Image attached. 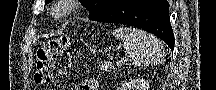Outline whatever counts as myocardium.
I'll return each instance as SVG.
<instances>
[{"label":"myocardium","instance_id":"1","mask_svg":"<svg viewBox=\"0 0 216 90\" xmlns=\"http://www.w3.org/2000/svg\"><path fill=\"white\" fill-rule=\"evenodd\" d=\"M57 3H83V0H57ZM70 10V6L57 4L53 8L52 17L54 20H59L66 16Z\"/></svg>","mask_w":216,"mask_h":90}]
</instances>
